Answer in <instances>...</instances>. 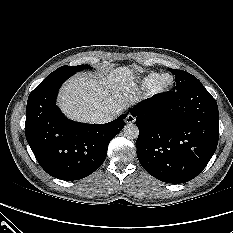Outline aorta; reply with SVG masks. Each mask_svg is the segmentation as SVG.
Here are the masks:
<instances>
[{
    "label": "aorta",
    "instance_id": "obj_1",
    "mask_svg": "<svg viewBox=\"0 0 233 233\" xmlns=\"http://www.w3.org/2000/svg\"><path fill=\"white\" fill-rule=\"evenodd\" d=\"M124 136L127 139H136L139 135V129L135 124L129 123L123 129Z\"/></svg>",
    "mask_w": 233,
    "mask_h": 233
}]
</instances>
